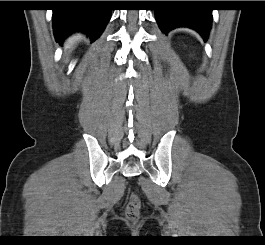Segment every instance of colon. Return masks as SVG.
<instances>
[{
  "label": "colon",
  "instance_id": "obj_1",
  "mask_svg": "<svg viewBox=\"0 0 265 245\" xmlns=\"http://www.w3.org/2000/svg\"><path fill=\"white\" fill-rule=\"evenodd\" d=\"M140 198L137 194H132L126 206L125 215L130 221H137L140 216Z\"/></svg>",
  "mask_w": 265,
  "mask_h": 245
}]
</instances>
